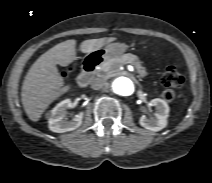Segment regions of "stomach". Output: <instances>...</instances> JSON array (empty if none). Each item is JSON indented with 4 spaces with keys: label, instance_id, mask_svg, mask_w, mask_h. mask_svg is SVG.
<instances>
[{
    "label": "stomach",
    "instance_id": "obj_1",
    "mask_svg": "<svg viewBox=\"0 0 212 183\" xmlns=\"http://www.w3.org/2000/svg\"><path fill=\"white\" fill-rule=\"evenodd\" d=\"M128 50V45L124 43L114 42L109 43L104 49H103V57L108 59L116 56L123 55Z\"/></svg>",
    "mask_w": 212,
    "mask_h": 183
}]
</instances>
